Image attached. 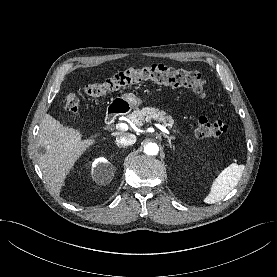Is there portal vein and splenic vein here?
I'll use <instances>...</instances> for the list:
<instances>
[{"instance_id": "18ae733b", "label": "portal vein and splenic vein", "mask_w": 277, "mask_h": 277, "mask_svg": "<svg viewBox=\"0 0 277 277\" xmlns=\"http://www.w3.org/2000/svg\"><path fill=\"white\" fill-rule=\"evenodd\" d=\"M156 126H157L162 132H164V133H166V134H170V132L166 129L165 126H162V125H160V124H156ZM116 129L122 130V131H126V130L129 129V127H128V125L125 124V123H118V124H116Z\"/></svg>"}]
</instances>
